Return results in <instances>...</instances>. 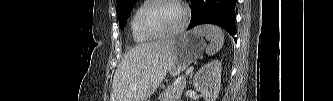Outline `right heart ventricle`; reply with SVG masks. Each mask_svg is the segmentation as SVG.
<instances>
[{
	"instance_id": "e07e8e85",
	"label": "right heart ventricle",
	"mask_w": 333,
	"mask_h": 101,
	"mask_svg": "<svg viewBox=\"0 0 333 101\" xmlns=\"http://www.w3.org/2000/svg\"><path fill=\"white\" fill-rule=\"evenodd\" d=\"M147 5V3H143L138 6L135 11L133 12L131 19H130V30L132 34V38L137 43H144L150 41L152 38L147 36L142 32L139 26V16L143 8Z\"/></svg>"
}]
</instances>
